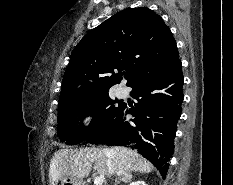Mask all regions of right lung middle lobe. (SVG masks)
Segmentation results:
<instances>
[{
    "mask_svg": "<svg viewBox=\"0 0 233 185\" xmlns=\"http://www.w3.org/2000/svg\"><path fill=\"white\" fill-rule=\"evenodd\" d=\"M119 101L112 100L108 91L93 94L87 98L59 107L58 136L68 145L78 144L92 137L102 129L120 108ZM93 116L89 126L84 127L81 120Z\"/></svg>",
    "mask_w": 233,
    "mask_h": 185,
    "instance_id": "obj_1",
    "label": "right lung middle lobe"
}]
</instances>
